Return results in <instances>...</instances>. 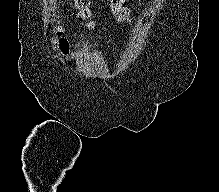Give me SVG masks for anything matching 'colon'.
Masks as SVG:
<instances>
[{"label": "colon", "instance_id": "obj_1", "mask_svg": "<svg viewBox=\"0 0 219 192\" xmlns=\"http://www.w3.org/2000/svg\"><path fill=\"white\" fill-rule=\"evenodd\" d=\"M75 4L78 7L87 8L89 5V0H75ZM58 36H59L60 48L63 52H66L67 51V40L63 36V33L61 30L58 31Z\"/></svg>", "mask_w": 219, "mask_h": 192}]
</instances>
